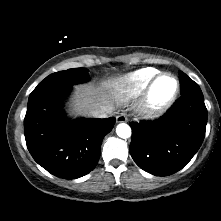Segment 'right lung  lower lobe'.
<instances>
[{
	"label": "right lung lower lobe",
	"mask_w": 221,
	"mask_h": 221,
	"mask_svg": "<svg viewBox=\"0 0 221 221\" xmlns=\"http://www.w3.org/2000/svg\"><path fill=\"white\" fill-rule=\"evenodd\" d=\"M71 88L50 89L29 98L24 119L30 154L44 169L63 179L82 177L95 168L102 140L116 120L67 119L62 105Z\"/></svg>",
	"instance_id": "1"
}]
</instances>
